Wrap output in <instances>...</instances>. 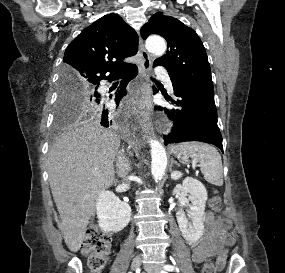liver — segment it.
<instances>
[{
    "mask_svg": "<svg viewBox=\"0 0 285 273\" xmlns=\"http://www.w3.org/2000/svg\"><path fill=\"white\" fill-rule=\"evenodd\" d=\"M119 146L116 133L95 123L68 130L49 150V183L62 220L59 228L72 252L84 241L99 194L114 181Z\"/></svg>",
    "mask_w": 285,
    "mask_h": 273,
    "instance_id": "liver-1",
    "label": "liver"
}]
</instances>
